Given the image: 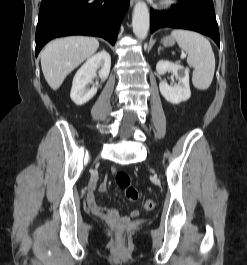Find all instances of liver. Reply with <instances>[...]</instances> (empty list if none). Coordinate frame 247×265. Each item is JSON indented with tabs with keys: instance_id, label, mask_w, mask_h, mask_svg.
I'll return each instance as SVG.
<instances>
[{
	"instance_id": "obj_1",
	"label": "liver",
	"mask_w": 247,
	"mask_h": 265,
	"mask_svg": "<svg viewBox=\"0 0 247 265\" xmlns=\"http://www.w3.org/2000/svg\"><path fill=\"white\" fill-rule=\"evenodd\" d=\"M99 42L92 37L72 36L55 39L41 52L43 75L53 90H57L66 76L98 49Z\"/></svg>"
}]
</instances>
